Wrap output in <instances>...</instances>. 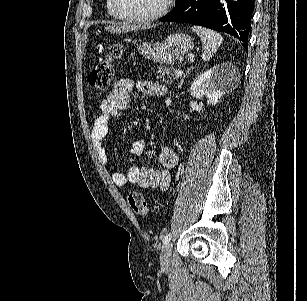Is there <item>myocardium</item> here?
Returning a JSON list of instances; mask_svg holds the SVG:
<instances>
[{
  "mask_svg": "<svg viewBox=\"0 0 307 301\" xmlns=\"http://www.w3.org/2000/svg\"><path fill=\"white\" fill-rule=\"evenodd\" d=\"M164 3L159 11H135V10H120V0H110V13L117 17L118 22H152L153 18H160L165 15L173 0H163Z\"/></svg>",
  "mask_w": 307,
  "mask_h": 301,
  "instance_id": "f54148a6",
  "label": "myocardium"
}]
</instances>
